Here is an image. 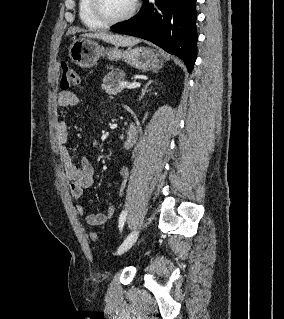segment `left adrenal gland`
I'll use <instances>...</instances> for the list:
<instances>
[{
	"label": "left adrenal gland",
	"instance_id": "a2214340",
	"mask_svg": "<svg viewBox=\"0 0 284 319\" xmlns=\"http://www.w3.org/2000/svg\"><path fill=\"white\" fill-rule=\"evenodd\" d=\"M151 83H153V80L147 81V83L145 84L144 88H143L142 91H141V94H140V96H139V101H141V100L143 99V97H144V95L146 94V92L151 91V90H148V87H149V85H150Z\"/></svg>",
	"mask_w": 284,
	"mask_h": 319
}]
</instances>
